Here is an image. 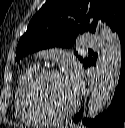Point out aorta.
Masks as SVG:
<instances>
[{
  "label": "aorta",
  "instance_id": "obj_1",
  "mask_svg": "<svg viewBox=\"0 0 125 128\" xmlns=\"http://www.w3.org/2000/svg\"><path fill=\"white\" fill-rule=\"evenodd\" d=\"M98 29L102 42L97 60L96 81L88 101V118H95L108 104L116 88L120 70L121 47L118 35L101 23Z\"/></svg>",
  "mask_w": 125,
  "mask_h": 128
}]
</instances>
